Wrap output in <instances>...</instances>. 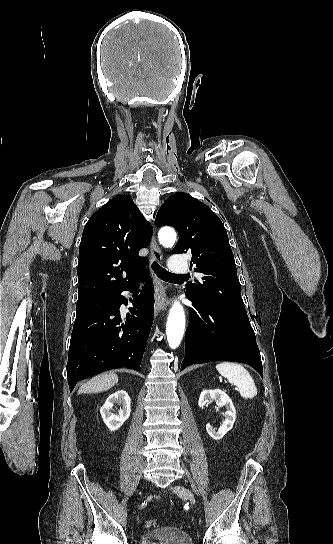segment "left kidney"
Listing matches in <instances>:
<instances>
[{"label": "left kidney", "mask_w": 333, "mask_h": 544, "mask_svg": "<svg viewBox=\"0 0 333 544\" xmlns=\"http://www.w3.org/2000/svg\"><path fill=\"white\" fill-rule=\"evenodd\" d=\"M210 400H215L216 404L221 407L225 406L226 412L223 413L225 420L218 430L212 428L210 424L206 425L207 433L215 440H220L223 436L233 428L236 420V410L229 396L222 390H203L200 394L198 405L203 408Z\"/></svg>", "instance_id": "1"}]
</instances>
